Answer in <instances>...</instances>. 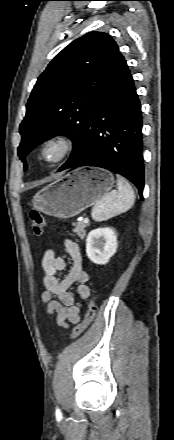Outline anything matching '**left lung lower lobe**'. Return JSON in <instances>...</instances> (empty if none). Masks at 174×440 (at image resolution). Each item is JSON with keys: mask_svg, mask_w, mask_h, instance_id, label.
I'll return each instance as SVG.
<instances>
[{"mask_svg": "<svg viewBox=\"0 0 174 440\" xmlns=\"http://www.w3.org/2000/svg\"><path fill=\"white\" fill-rule=\"evenodd\" d=\"M142 151L141 105L132 75L122 56L104 91L89 110L81 151L59 171L80 166L114 171L132 181L142 199Z\"/></svg>", "mask_w": 174, "mask_h": 440, "instance_id": "left-lung-lower-lobe-1", "label": "left lung lower lobe"}]
</instances>
